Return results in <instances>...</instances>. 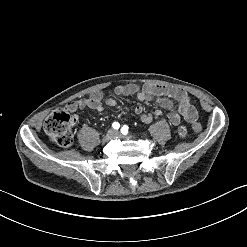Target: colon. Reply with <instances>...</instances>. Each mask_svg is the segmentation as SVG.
<instances>
[{
	"label": "colon",
	"mask_w": 247,
	"mask_h": 247,
	"mask_svg": "<svg viewBox=\"0 0 247 247\" xmlns=\"http://www.w3.org/2000/svg\"><path fill=\"white\" fill-rule=\"evenodd\" d=\"M72 117L65 111L51 113L43 123V129L50 140L60 146L67 147L73 140ZM196 132H201L202 126L199 124L193 127Z\"/></svg>",
	"instance_id": "1"
}]
</instances>
